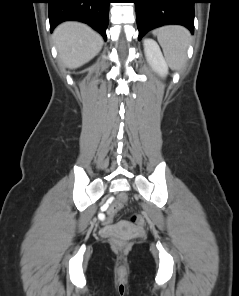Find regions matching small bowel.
<instances>
[{"label":"small bowel","mask_w":239,"mask_h":296,"mask_svg":"<svg viewBox=\"0 0 239 296\" xmlns=\"http://www.w3.org/2000/svg\"><path fill=\"white\" fill-rule=\"evenodd\" d=\"M112 216V212L108 211L107 212V219H109Z\"/></svg>","instance_id":"obj_1"}]
</instances>
